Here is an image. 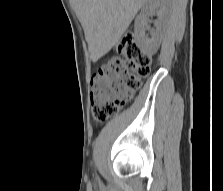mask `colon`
<instances>
[{"label":"colon","mask_w":223,"mask_h":191,"mask_svg":"<svg viewBox=\"0 0 223 191\" xmlns=\"http://www.w3.org/2000/svg\"><path fill=\"white\" fill-rule=\"evenodd\" d=\"M117 49L126 59L111 58L91 82L92 117L97 122L106 121L115 115L139 87L140 79L150 71L151 57L140 49L132 35L123 36ZM130 69L136 76L130 74Z\"/></svg>","instance_id":"obj_1"}]
</instances>
